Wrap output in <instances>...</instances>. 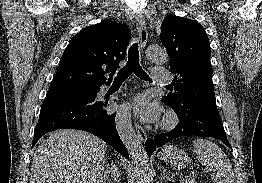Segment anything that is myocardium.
Segmentation results:
<instances>
[{
    "label": "myocardium",
    "instance_id": "myocardium-1",
    "mask_svg": "<svg viewBox=\"0 0 262 183\" xmlns=\"http://www.w3.org/2000/svg\"><path fill=\"white\" fill-rule=\"evenodd\" d=\"M178 121L179 119L177 114L174 111L169 110L164 114L162 118L161 128L164 130H170L178 124Z\"/></svg>",
    "mask_w": 262,
    "mask_h": 183
}]
</instances>
